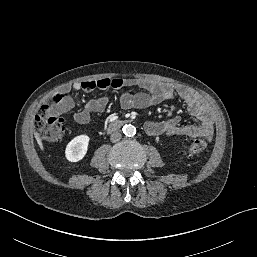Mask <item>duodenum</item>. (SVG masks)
<instances>
[{"label":"duodenum","mask_w":257,"mask_h":257,"mask_svg":"<svg viewBox=\"0 0 257 257\" xmlns=\"http://www.w3.org/2000/svg\"><path fill=\"white\" fill-rule=\"evenodd\" d=\"M125 123H127V121H123V120H114V121H111V122L107 125V130H108L109 132L116 131V130L120 129Z\"/></svg>","instance_id":"1"}]
</instances>
